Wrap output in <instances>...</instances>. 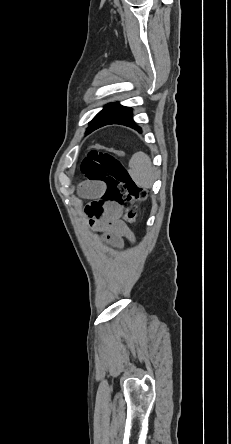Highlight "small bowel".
<instances>
[{
	"mask_svg": "<svg viewBox=\"0 0 231 444\" xmlns=\"http://www.w3.org/2000/svg\"><path fill=\"white\" fill-rule=\"evenodd\" d=\"M103 185L95 182H85L81 185V194L92 199V204L101 200ZM122 208L113 202H104L100 216H98L97 229L108 235L115 244L121 245L123 237L132 238L130 230L121 220Z\"/></svg>",
	"mask_w": 231,
	"mask_h": 444,
	"instance_id": "obj_1",
	"label": "small bowel"
}]
</instances>
